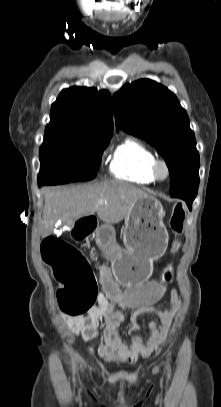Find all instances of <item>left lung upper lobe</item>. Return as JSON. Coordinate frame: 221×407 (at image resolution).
<instances>
[{
    "label": "left lung upper lobe",
    "mask_w": 221,
    "mask_h": 407,
    "mask_svg": "<svg viewBox=\"0 0 221 407\" xmlns=\"http://www.w3.org/2000/svg\"><path fill=\"white\" fill-rule=\"evenodd\" d=\"M117 128L154 146L170 172V190L199 182V153L189 118L176 96L161 84L141 79L113 95Z\"/></svg>",
    "instance_id": "1"
}]
</instances>
